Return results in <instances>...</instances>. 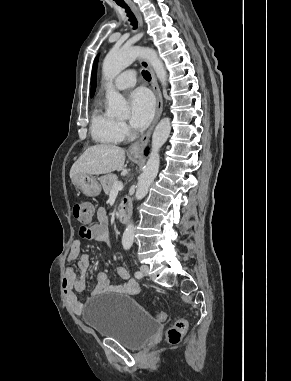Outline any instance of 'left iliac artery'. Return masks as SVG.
Segmentation results:
<instances>
[{
  "label": "left iliac artery",
  "mask_w": 291,
  "mask_h": 381,
  "mask_svg": "<svg viewBox=\"0 0 291 381\" xmlns=\"http://www.w3.org/2000/svg\"><path fill=\"white\" fill-rule=\"evenodd\" d=\"M134 275H135V277L138 278V279H139V278H142V276H143L142 273H141L140 271H136Z\"/></svg>",
  "instance_id": "left-iliac-artery-1"
}]
</instances>
